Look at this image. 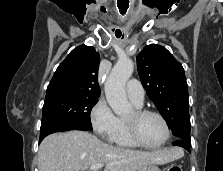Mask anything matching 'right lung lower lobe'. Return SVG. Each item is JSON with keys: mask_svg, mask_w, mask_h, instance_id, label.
I'll use <instances>...</instances> for the list:
<instances>
[{"mask_svg": "<svg viewBox=\"0 0 223 171\" xmlns=\"http://www.w3.org/2000/svg\"><path fill=\"white\" fill-rule=\"evenodd\" d=\"M67 130H84V131H91L92 129L85 127L83 125L74 123V122H62L50 127L45 128L43 131L40 132V142L43 140L44 137L47 135L54 133V132H63Z\"/></svg>", "mask_w": 223, "mask_h": 171, "instance_id": "98d812e1", "label": "right lung lower lobe"}]
</instances>
